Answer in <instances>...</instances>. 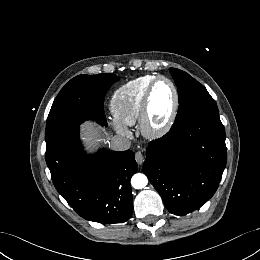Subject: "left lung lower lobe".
I'll list each match as a JSON object with an SVG mask.
<instances>
[{"label": "left lung lower lobe", "mask_w": 260, "mask_h": 260, "mask_svg": "<svg viewBox=\"0 0 260 260\" xmlns=\"http://www.w3.org/2000/svg\"><path fill=\"white\" fill-rule=\"evenodd\" d=\"M143 171L169 212L188 214L215 193L226 166L225 129L218 112L172 126L146 149Z\"/></svg>", "instance_id": "1"}]
</instances>
